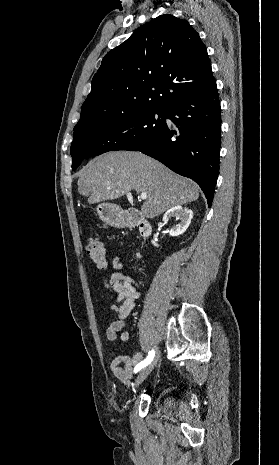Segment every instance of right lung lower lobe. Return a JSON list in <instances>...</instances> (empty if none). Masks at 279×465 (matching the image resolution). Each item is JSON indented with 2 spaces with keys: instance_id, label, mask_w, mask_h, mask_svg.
Listing matches in <instances>:
<instances>
[{
  "instance_id": "98d812e1",
  "label": "right lung lower lobe",
  "mask_w": 279,
  "mask_h": 465,
  "mask_svg": "<svg viewBox=\"0 0 279 465\" xmlns=\"http://www.w3.org/2000/svg\"><path fill=\"white\" fill-rule=\"evenodd\" d=\"M177 129L167 123L161 134L142 146L122 150L140 151L174 172L194 180L211 206L219 172L221 113L214 78L202 89L166 109Z\"/></svg>"
}]
</instances>
